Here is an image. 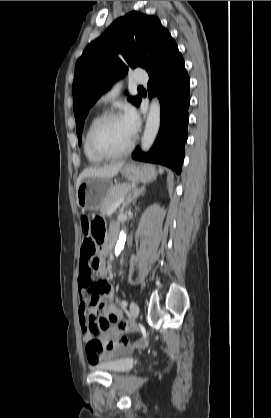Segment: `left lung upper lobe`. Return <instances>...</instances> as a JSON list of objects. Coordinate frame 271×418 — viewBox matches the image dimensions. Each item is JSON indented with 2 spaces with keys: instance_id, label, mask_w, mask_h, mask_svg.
Returning <instances> with one entry per match:
<instances>
[{
  "instance_id": "obj_1",
  "label": "left lung upper lobe",
  "mask_w": 271,
  "mask_h": 418,
  "mask_svg": "<svg viewBox=\"0 0 271 418\" xmlns=\"http://www.w3.org/2000/svg\"><path fill=\"white\" fill-rule=\"evenodd\" d=\"M171 37L156 16L130 12L115 20L96 40L88 45L75 66L73 107L79 144L89 108L129 68L150 70L159 60ZM149 51L152 58L142 55ZM141 97H129L138 105Z\"/></svg>"
}]
</instances>
